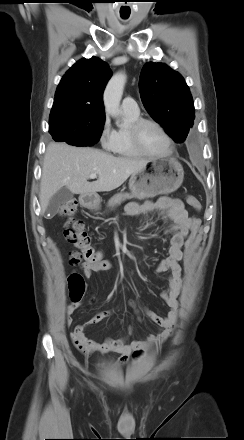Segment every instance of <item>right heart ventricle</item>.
<instances>
[{
	"label": "right heart ventricle",
	"mask_w": 244,
	"mask_h": 440,
	"mask_svg": "<svg viewBox=\"0 0 244 440\" xmlns=\"http://www.w3.org/2000/svg\"><path fill=\"white\" fill-rule=\"evenodd\" d=\"M125 116L127 117L130 123L140 118L139 113L138 114L125 113ZM110 151L113 154L122 157H135L141 155L138 151L134 149V147L130 142L128 136V128H119L117 130H114V140L110 148Z\"/></svg>",
	"instance_id": "e07e8e85"
}]
</instances>
